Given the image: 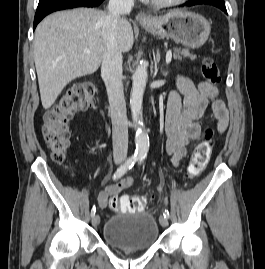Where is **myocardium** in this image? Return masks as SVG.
Wrapping results in <instances>:
<instances>
[{"instance_id":"f54148a6","label":"myocardium","mask_w":265,"mask_h":269,"mask_svg":"<svg viewBox=\"0 0 265 269\" xmlns=\"http://www.w3.org/2000/svg\"><path fill=\"white\" fill-rule=\"evenodd\" d=\"M155 7L165 8L180 5L187 0H146Z\"/></svg>"}]
</instances>
